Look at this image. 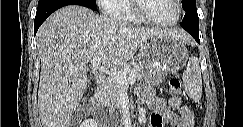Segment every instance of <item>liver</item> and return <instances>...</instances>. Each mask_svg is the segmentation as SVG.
<instances>
[{
    "label": "liver",
    "mask_w": 243,
    "mask_h": 127,
    "mask_svg": "<svg viewBox=\"0 0 243 127\" xmlns=\"http://www.w3.org/2000/svg\"><path fill=\"white\" fill-rule=\"evenodd\" d=\"M155 35L188 42L182 30L133 27L92 10L68 5L54 12L39 28L41 59L38 110L43 127H69L88 87V64L94 58L119 69Z\"/></svg>",
    "instance_id": "liver-1"
}]
</instances>
